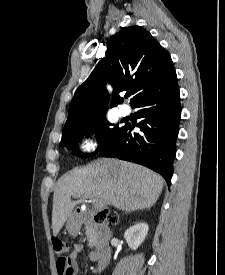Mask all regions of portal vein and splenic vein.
Listing matches in <instances>:
<instances>
[{
  "instance_id": "obj_1",
  "label": "portal vein and splenic vein",
  "mask_w": 225,
  "mask_h": 275,
  "mask_svg": "<svg viewBox=\"0 0 225 275\" xmlns=\"http://www.w3.org/2000/svg\"><path fill=\"white\" fill-rule=\"evenodd\" d=\"M93 203H94V205H95V207L97 209H101L104 206V204L102 203V201L98 200L96 198H93Z\"/></svg>"
}]
</instances>
